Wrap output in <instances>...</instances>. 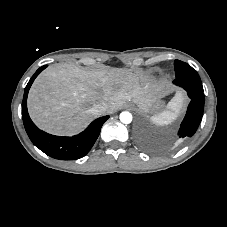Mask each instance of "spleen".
I'll list each match as a JSON object with an SVG mask.
<instances>
[{
  "label": "spleen",
  "instance_id": "1",
  "mask_svg": "<svg viewBox=\"0 0 227 227\" xmlns=\"http://www.w3.org/2000/svg\"><path fill=\"white\" fill-rule=\"evenodd\" d=\"M182 102L179 97L174 98L163 112L151 117V121L157 125L170 124L179 114Z\"/></svg>",
  "mask_w": 227,
  "mask_h": 227
}]
</instances>
